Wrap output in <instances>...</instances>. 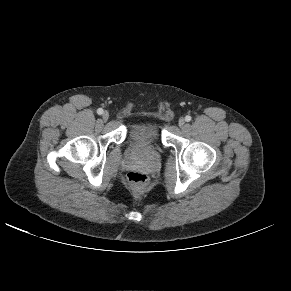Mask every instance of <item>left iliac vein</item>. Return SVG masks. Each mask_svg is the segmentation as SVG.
<instances>
[{
	"instance_id": "1",
	"label": "left iliac vein",
	"mask_w": 291,
	"mask_h": 291,
	"mask_svg": "<svg viewBox=\"0 0 291 291\" xmlns=\"http://www.w3.org/2000/svg\"><path fill=\"white\" fill-rule=\"evenodd\" d=\"M179 127L180 128H184L185 127V119L184 118H180L178 121Z\"/></svg>"
}]
</instances>
